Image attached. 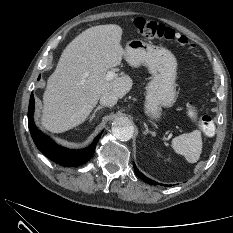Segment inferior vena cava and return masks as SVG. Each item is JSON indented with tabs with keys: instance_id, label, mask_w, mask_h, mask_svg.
Here are the masks:
<instances>
[{
	"instance_id": "inferior-vena-cava-1",
	"label": "inferior vena cava",
	"mask_w": 233,
	"mask_h": 233,
	"mask_svg": "<svg viewBox=\"0 0 233 233\" xmlns=\"http://www.w3.org/2000/svg\"><path fill=\"white\" fill-rule=\"evenodd\" d=\"M118 101V97L111 92L104 93L100 98V104L107 107L114 106Z\"/></svg>"
}]
</instances>
